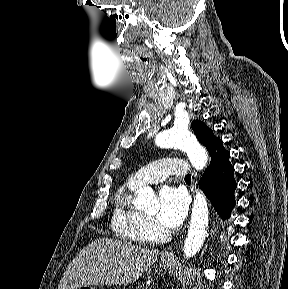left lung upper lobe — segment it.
Here are the masks:
<instances>
[{
	"mask_svg": "<svg viewBox=\"0 0 288 289\" xmlns=\"http://www.w3.org/2000/svg\"><path fill=\"white\" fill-rule=\"evenodd\" d=\"M191 128L198 140L210 151L213 146L220 140L214 136L213 131L201 121L195 120L191 123Z\"/></svg>",
	"mask_w": 288,
	"mask_h": 289,
	"instance_id": "5c2ea615",
	"label": "left lung upper lobe"
}]
</instances>
